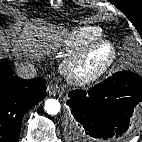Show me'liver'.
<instances>
[{
	"instance_id": "obj_1",
	"label": "liver",
	"mask_w": 142,
	"mask_h": 142,
	"mask_svg": "<svg viewBox=\"0 0 142 142\" xmlns=\"http://www.w3.org/2000/svg\"><path fill=\"white\" fill-rule=\"evenodd\" d=\"M53 32L52 28L39 27L33 23H28L20 34L17 45L23 51L30 52L36 56L42 52L49 51V48H51L49 43L55 39ZM0 39L2 40V37Z\"/></svg>"
}]
</instances>
